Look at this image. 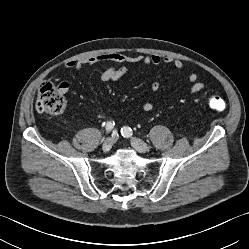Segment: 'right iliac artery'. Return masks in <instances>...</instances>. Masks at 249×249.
Returning <instances> with one entry per match:
<instances>
[{"label": "right iliac artery", "mask_w": 249, "mask_h": 249, "mask_svg": "<svg viewBox=\"0 0 249 249\" xmlns=\"http://www.w3.org/2000/svg\"><path fill=\"white\" fill-rule=\"evenodd\" d=\"M115 123L114 122H107L106 124V131L109 133L114 128Z\"/></svg>", "instance_id": "obj_1"}]
</instances>
